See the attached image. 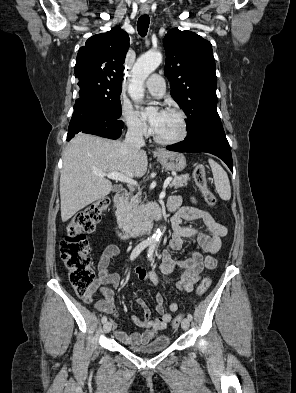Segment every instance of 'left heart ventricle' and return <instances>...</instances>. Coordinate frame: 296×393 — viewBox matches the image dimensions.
I'll return each instance as SVG.
<instances>
[{
  "label": "left heart ventricle",
  "instance_id": "left-heart-ventricle-1",
  "mask_svg": "<svg viewBox=\"0 0 296 393\" xmlns=\"http://www.w3.org/2000/svg\"><path fill=\"white\" fill-rule=\"evenodd\" d=\"M156 115H152V120L155 119ZM154 130L163 139L175 138L181 132L180 118L176 114L166 112Z\"/></svg>",
  "mask_w": 296,
  "mask_h": 393
}]
</instances>
